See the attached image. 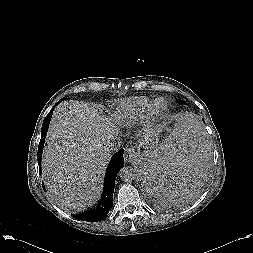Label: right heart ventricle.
Instances as JSON below:
<instances>
[{"mask_svg":"<svg viewBox=\"0 0 253 253\" xmlns=\"http://www.w3.org/2000/svg\"><path fill=\"white\" fill-rule=\"evenodd\" d=\"M151 102L149 97L140 96L121 101L115 111L117 122L130 126L143 120L145 112Z\"/></svg>","mask_w":253,"mask_h":253,"instance_id":"e07e8e85","label":"right heart ventricle"}]
</instances>
